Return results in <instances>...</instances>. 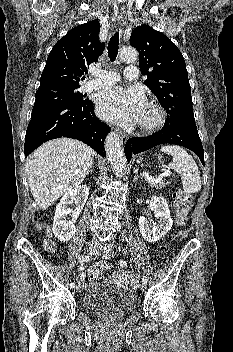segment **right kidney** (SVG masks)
I'll return each instance as SVG.
<instances>
[{
    "instance_id": "right-kidney-1",
    "label": "right kidney",
    "mask_w": 233,
    "mask_h": 352,
    "mask_svg": "<svg viewBox=\"0 0 233 352\" xmlns=\"http://www.w3.org/2000/svg\"><path fill=\"white\" fill-rule=\"evenodd\" d=\"M89 195V188L80 185L63 195L56 206L53 219V233L60 241L65 242L72 238L76 231L74 223L82 211ZM75 202L76 208L72 211L68 205ZM71 215V219L68 218Z\"/></svg>"
}]
</instances>
